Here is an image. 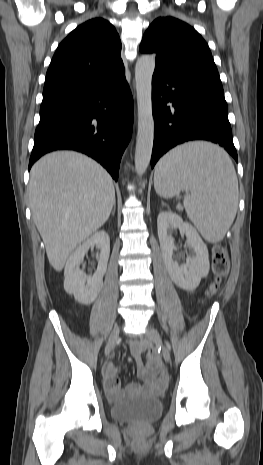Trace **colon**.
<instances>
[{
  "label": "colon",
  "mask_w": 263,
  "mask_h": 465,
  "mask_svg": "<svg viewBox=\"0 0 263 465\" xmlns=\"http://www.w3.org/2000/svg\"><path fill=\"white\" fill-rule=\"evenodd\" d=\"M212 270L214 277L207 290L208 296H213L218 292L229 272L228 255L221 245H216L213 248Z\"/></svg>",
  "instance_id": "1"
}]
</instances>
